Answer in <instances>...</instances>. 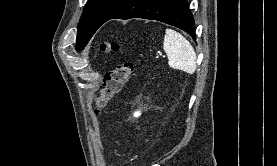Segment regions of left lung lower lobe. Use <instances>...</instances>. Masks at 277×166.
Instances as JSON below:
<instances>
[{
	"label": "left lung lower lobe",
	"instance_id": "left-lung-lower-lobe-1",
	"mask_svg": "<svg viewBox=\"0 0 277 166\" xmlns=\"http://www.w3.org/2000/svg\"><path fill=\"white\" fill-rule=\"evenodd\" d=\"M115 18L158 20L176 26L196 38L194 19L186 0H134L110 19Z\"/></svg>",
	"mask_w": 277,
	"mask_h": 166
}]
</instances>
